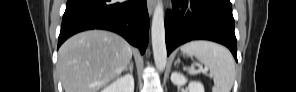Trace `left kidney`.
Masks as SVG:
<instances>
[{
  "label": "left kidney",
  "instance_id": "1",
  "mask_svg": "<svg viewBox=\"0 0 296 92\" xmlns=\"http://www.w3.org/2000/svg\"><path fill=\"white\" fill-rule=\"evenodd\" d=\"M171 81L174 85L177 86H182L187 83L186 77L176 71L171 74ZM188 89L189 92H205L203 84L197 81H191L188 85Z\"/></svg>",
  "mask_w": 296,
  "mask_h": 92
}]
</instances>
